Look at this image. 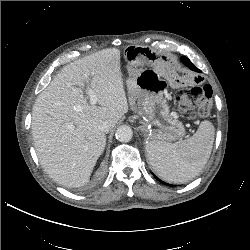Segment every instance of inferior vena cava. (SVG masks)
Returning <instances> with one entry per match:
<instances>
[{
	"label": "inferior vena cava",
	"instance_id": "inferior-vena-cava-1",
	"mask_svg": "<svg viewBox=\"0 0 250 250\" xmlns=\"http://www.w3.org/2000/svg\"><path fill=\"white\" fill-rule=\"evenodd\" d=\"M98 128H99V130H100L101 132L107 133V132H109L111 126H110V124H109L108 122L104 121V122H102V123L99 125Z\"/></svg>",
	"mask_w": 250,
	"mask_h": 250
}]
</instances>
